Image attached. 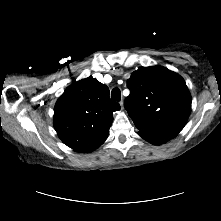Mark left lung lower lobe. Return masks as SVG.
I'll return each instance as SVG.
<instances>
[{"instance_id": "left-lung-lower-lobe-1", "label": "left lung lower lobe", "mask_w": 221, "mask_h": 221, "mask_svg": "<svg viewBox=\"0 0 221 221\" xmlns=\"http://www.w3.org/2000/svg\"><path fill=\"white\" fill-rule=\"evenodd\" d=\"M138 134L145 140H147L148 142L152 143V144H163L165 142H167L168 140L162 139V138H158L155 136H151V135H147L141 132H138Z\"/></svg>"}]
</instances>
